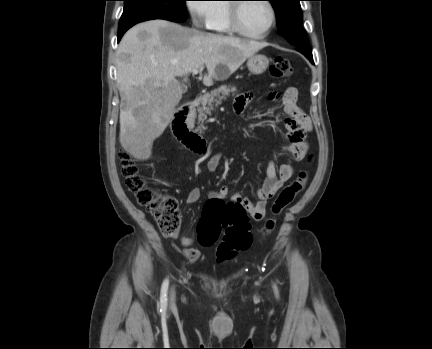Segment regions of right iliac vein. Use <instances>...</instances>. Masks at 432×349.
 Returning <instances> with one entry per match:
<instances>
[{
	"label": "right iliac vein",
	"instance_id": "obj_1",
	"mask_svg": "<svg viewBox=\"0 0 432 349\" xmlns=\"http://www.w3.org/2000/svg\"><path fill=\"white\" fill-rule=\"evenodd\" d=\"M169 302L170 306H173L175 303V292L173 289L170 291Z\"/></svg>",
	"mask_w": 432,
	"mask_h": 349
}]
</instances>
